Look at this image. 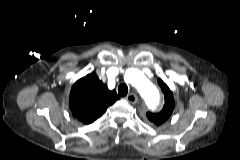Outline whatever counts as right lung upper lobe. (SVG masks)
I'll return each mask as SVG.
<instances>
[{
  "instance_id": "obj_1",
  "label": "right lung upper lobe",
  "mask_w": 240,
  "mask_h": 160,
  "mask_svg": "<svg viewBox=\"0 0 240 160\" xmlns=\"http://www.w3.org/2000/svg\"><path fill=\"white\" fill-rule=\"evenodd\" d=\"M119 99L114 90L110 91L95 73L86 75L72 86L69 107L74 117L89 124L100 117Z\"/></svg>"
}]
</instances>
